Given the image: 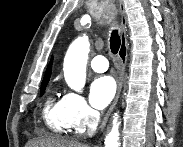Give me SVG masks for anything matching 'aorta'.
Listing matches in <instances>:
<instances>
[{
	"mask_svg": "<svg viewBox=\"0 0 183 147\" xmlns=\"http://www.w3.org/2000/svg\"><path fill=\"white\" fill-rule=\"evenodd\" d=\"M90 43L87 36L78 37L69 47L64 58V78L67 85L81 93L86 82V64ZM105 147H119V122L116 114L113 127L105 138Z\"/></svg>",
	"mask_w": 183,
	"mask_h": 147,
	"instance_id": "1",
	"label": "aorta"
}]
</instances>
